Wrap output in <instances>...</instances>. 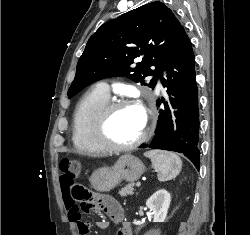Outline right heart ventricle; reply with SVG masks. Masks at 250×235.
Masks as SVG:
<instances>
[{
  "mask_svg": "<svg viewBox=\"0 0 250 235\" xmlns=\"http://www.w3.org/2000/svg\"><path fill=\"white\" fill-rule=\"evenodd\" d=\"M109 101V95L98 87L87 92L79 101L73 114L72 140L76 150L87 156L104 154L93 137V124L100 109Z\"/></svg>",
  "mask_w": 250,
  "mask_h": 235,
  "instance_id": "e07e8e85",
  "label": "right heart ventricle"
}]
</instances>
